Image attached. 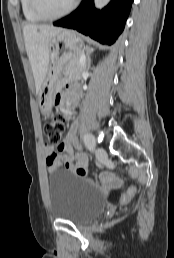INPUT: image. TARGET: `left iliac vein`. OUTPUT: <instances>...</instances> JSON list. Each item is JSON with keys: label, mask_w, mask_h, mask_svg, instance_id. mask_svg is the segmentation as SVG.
Returning a JSON list of instances; mask_svg holds the SVG:
<instances>
[{"label": "left iliac vein", "mask_w": 174, "mask_h": 258, "mask_svg": "<svg viewBox=\"0 0 174 258\" xmlns=\"http://www.w3.org/2000/svg\"><path fill=\"white\" fill-rule=\"evenodd\" d=\"M95 154L99 160H104L107 157V153H106L105 149H103V148H97L95 150Z\"/></svg>", "instance_id": "obj_1"}]
</instances>
